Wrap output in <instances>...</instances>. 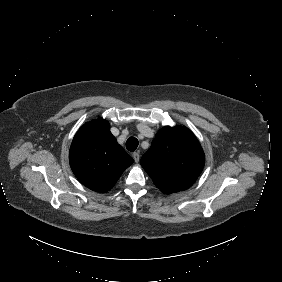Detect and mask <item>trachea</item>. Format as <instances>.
<instances>
[{"instance_id": "3493384b", "label": "trachea", "mask_w": 282, "mask_h": 282, "mask_svg": "<svg viewBox=\"0 0 282 282\" xmlns=\"http://www.w3.org/2000/svg\"><path fill=\"white\" fill-rule=\"evenodd\" d=\"M138 144H139V142H138L137 138H135L134 136H131L126 141V148H127V150L133 152L137 149Z\"/></svg>"}]
</instances>
